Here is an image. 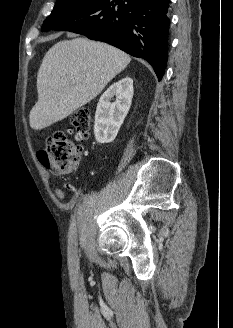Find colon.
Returning <instances> with one entry per match:
<instances>
[{"mask_svg":"<svg viewBox=\"0 0 233 328\" xmlns=\"http://www.w3.org/2000/svg\"><path fill=\"white\" fill-rule=\"evenodd\" d=\"M69 124V132L74 133L78 141L85 142L89 139V110H76L69 117ZM85 153L82 145L72 142L65 132L57 131L48 138L45 148L38 152V159L53 173H68L78 167Z\"/></svg>","mask_w":233,"mask_h":328,"instance_id":"colon-1","label":"colon"}]
</instances>
